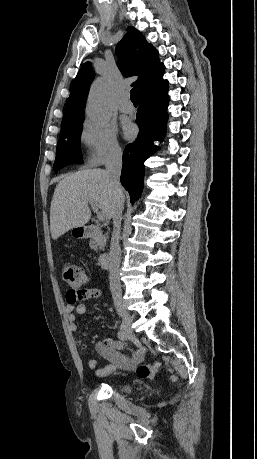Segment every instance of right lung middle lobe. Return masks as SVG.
I'll use <instances>...</instances> for the list:
<instances>
[{
    "mask_svg": "<svg viewBox=\"0 0 257 459\" xmlns=\"http://www.w3.org/2000/svg\"><path fill=\"white\" fill-rule=\"evenodd\" d=\"M82 123L60 134L53 166L55 172L71 163H83L79 148Z\"/></svg>",
    "mask_w": 257,
    "mask_h": 459,
    "instance_id": "right-lung-middle-lobe-1",
    "label": "right lung middle lobe"
}]
</instances>
